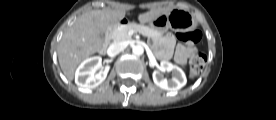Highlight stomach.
<instances>
[{
  "label": "stomach",
  "mask_w": 276,
  "mask_h": 120,
  "mask_svg": "<svg viewBox=\"0 0 276 120\" xmlns=\"http://www.w3.org/2000/svg\"><path fill=\"white\" fill-rule=\"evenodd\" d=\"M148 23L151 29L159 33H164L168 29L175 32H189L197 25L193 13L179 8H172L168 13L161 14Z\"/></svg>",
  "instance_id": "stomach-1"
}]
</instances>
